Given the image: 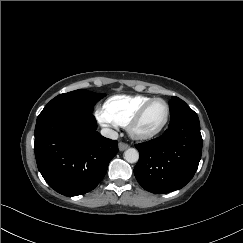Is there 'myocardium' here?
<instances>
[{
    "label": "myocardium",
    "mask_w": 243,
    "mask_h": 243,
    "mask_svg": "<svg viewBox=\"0 0 243 243\" xmlns=\"http://www.w3.org/2000/svg\"><path fill=\"white\" fill-rule=\"evenodd\" d=\"M161 101L165 104L167 112H166V117L163 121V123L155 130L150 131V132H141L137 129L139 123L141 122L145 112L147 109L154 104L155 102ZM170 119V106L169 103L160 97L152 98L148 102H146L141 108L132 116V118L129 120L127 124V131L129 135L133 139L137 140H149L157 135H159L167 126L168 122Z\"/></svg>",
    "instance_id": "1"
}]
</instances>
